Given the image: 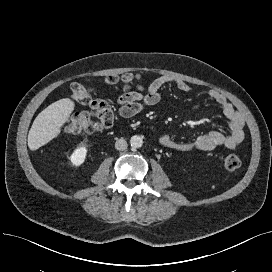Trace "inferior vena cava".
<instances>
[{"instance_id":"inferior-vena-cava-1","label":"inferior vena cava","mask_w":272,"mask_h":272,"mask_svg":"<svg viewBox=\"0 0 272 272\" xmlns=\"http://www.w3.org/2000/svg\"><path fill=\"white\" fill-rule=\"evenodd\" d=\"M127 142L126 140H124L123 138L118 139L115 143V148L119 151H123L125 149H127Z\"/></svg>"}]
</instances>
